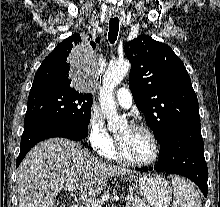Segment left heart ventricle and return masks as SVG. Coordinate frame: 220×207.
<instances>
[{
	"instance_id": "b2bd125f",
	"label": "left heart ventricle",
	"mask_w": 220,
	"mask_h": 207,
	"mask_svg": "<svg viewBox=\"0 0 220 207\" xmlns=\"http://www.w3.org/2000/svg\"><path fill=\"white\" fill-rule=\"evenodd\" d=\"M124 154L131 160L144 161L151 157L153 145L148 135L129 126L122 127L116 134Z\"/></svg>"
}]
</instances>
